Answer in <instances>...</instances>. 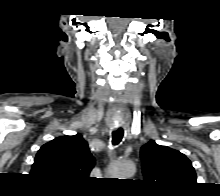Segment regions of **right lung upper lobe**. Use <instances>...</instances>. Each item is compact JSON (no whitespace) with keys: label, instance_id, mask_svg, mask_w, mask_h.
I'll return each mask as SVG.
<instances>
[{"label":"right lung upper lobe","instance_id":"right-lung-upper-lobe-1","mask_svg":"<svg viewBox=\"0 0 220 196\" xmlns=\"http://www.w3.org/2000/svg\"><path fill=\"white\" fill-rule=\"evenodd\" d=\"M95 161L80 134L60 136L43 145L31 169V175L53 185L72 187L82 184Z\"/></svg>","mask_w":220,"mask_h":196}]
</instances>
